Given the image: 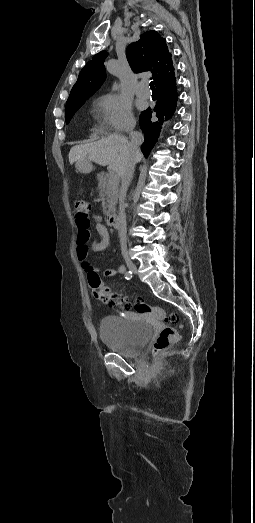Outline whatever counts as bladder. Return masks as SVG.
<instances>
[{
    "label": "bladder",
    "mask_w": 255,
    "mask_h": 523,
    "mask_svg": "<svg viewBox=\"0 0 255 523\" xmlns=\"http://www.w3.org/2000/svg\"><path fill=\"white\" fill-rule=\"evenodd\" d=\"M99 333L106 346L130 356L137 354L145 346L151 336L152 326L137 318H133L129 327H125L120 320L102 318Z\"/></svg>",
    "instance_id": "obj_1"
}]
</instances>
